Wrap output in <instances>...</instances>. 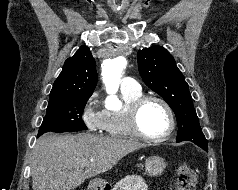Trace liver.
Here are the masks:
<instances>
[{
    "label": "liver",
    "instance_id": "liver-1",
    "mask_svg": "<svg viewBox=\"0 0 238 190\" xmlns=\"http://www.w3.org/2000/svg\"><path fill=\"white\" fill-rule=\"evenodd\" d=\"M143 144L91 134L41 136L33 150V190H71L114 167Z\"/></svg>",
    "mask_w": 238,
    "mask_h": 190
}]
</instances>
